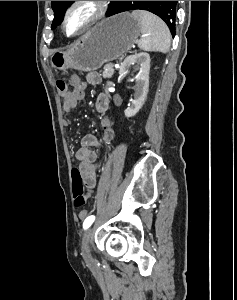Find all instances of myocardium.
<instances>
[{
	"label": "myocardium",
	"instance_id": "myocardium-1",
	"mask_svg": "<svg viewBox=\"0 0 237 300\" xmlns=\"http://www.w3.org/2000/svg\"><path fill=\"white\" fill-rule=\"evenodd\" d=\"M85 6H91L93 11L91 15L85 20V22L80 26V28L74 32L69 33L67 30V25L69 19L73 15L75 11L81 9ZM109 7V1H72L64 11L62 22H61V30L67 37L75 38L79 35L86 32L88 29L99 23L107 14Z\"/></svg>",
	"mask_w": 237,
	"mask_h": 300
}]
</instances>
